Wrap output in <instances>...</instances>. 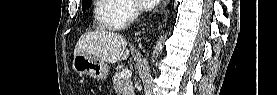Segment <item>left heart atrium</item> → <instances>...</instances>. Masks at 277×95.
<instances>
[{"mask_svg": "<svg viewBox=\"0 0 277 95\" xmlns=\"http://www.w3.org/2000/svg\"><path fill=\"white\" fill-rule=\"evenodd\" d=\"M136 3H138V5L141 8H153L155 6V4L157 3V0H136Z\"/></svg>", "mask_w": 277, "mask_h": 95, "instance_id": "1", "label": "left heart atrium"}]
</instances>
